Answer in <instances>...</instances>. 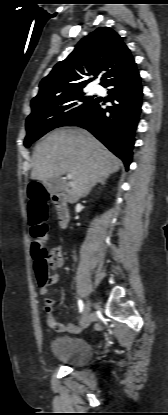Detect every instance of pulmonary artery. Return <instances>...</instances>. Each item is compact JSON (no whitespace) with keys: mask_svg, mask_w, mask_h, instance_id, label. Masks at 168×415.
Instances as JSON below:
<instances>
[{"mask_svg":"<svg viewBox=\"0 0 168 415\" xmlns=\"http://www.w3.org/2000/svg\"><path fill=\"white\" fill-rule=\"evenodd\" d=\"M94 91H95V92H99V91H100V87L96 86V87L94 88Z\"/></svg>","mask_w":168,"mask_h":415,"instance_id":"pulmonary-artery-1","label":"pulmonary artery"}]
</instances>
